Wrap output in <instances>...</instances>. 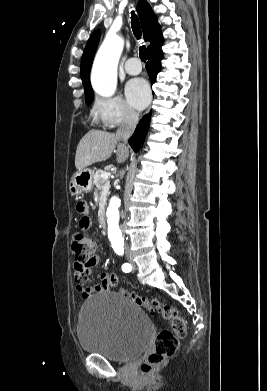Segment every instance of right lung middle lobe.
<instances>
[{"label": "right lung middle lobe", "mask_w": 267, "mask_h": 391, "mask_svg": "<svg viewBox=\"0 0 267 391\" xmlns=\"http://www.w3.org/2000/svg\"><path fill=\"white\" fill-rule=\"evenodd\" d=\"M85 101L87 104H90L93 101V91H88L85 93Z\"/></svg>", "instance_id": "right-lung-middle-lobe-1"}]
</instances>
